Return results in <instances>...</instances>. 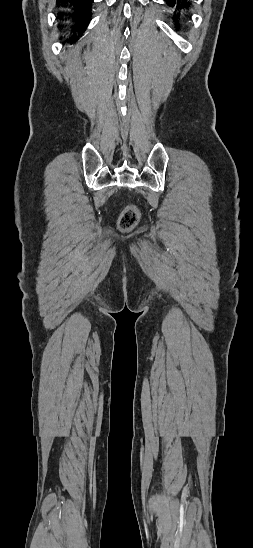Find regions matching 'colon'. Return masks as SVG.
Segmentation results:
<instances>
[{"label": "colon", "mask_w": 253, "mask_h": 548, "mask_svg": "<svg viewBox=\"0 0 253 548\" xmlns=\"http://www.w3.org/2000/svg\"><path fill=\"white\" fill-rule=\"evenodd\" d=\"M139 211L135 206L126 207L120 215L118 227L122 232L131 231L139 221Z\"/></svg>", "instance_id": "5ec220e1"}]
</instances>
